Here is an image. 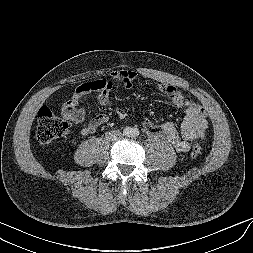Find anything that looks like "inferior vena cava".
<instances>
[{
	"mask_svg": "<svg viewBox=\"0 0 253 253\" xmlns=\"http://www.w3.org/2000/svg\"><path fill=\"white\" fill-rule=\"evenodd\" d=\"M105 136L109 141H116L122 137V133L119 130H111L107 132Z\"/></svg>",
	"mask_w": 253,
	"mask_h": 253,
	"instance_id": "inferior-vena-cava-1",
	"label": "inferior vena cava"
}]
</instances>
